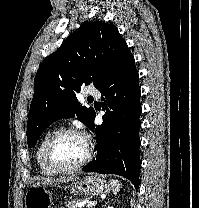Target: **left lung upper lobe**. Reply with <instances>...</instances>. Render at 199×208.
<instances>
[{
  "label": "left lung upper lobe",
  "mask_w": 199,
  "mask_h": 208,
  "mask_svg": "<svg viewBox=\"0 0 199 208\" xmlns=\"http://www.w3.org/2000/svg\"><path fill=\"white\" fill-rule=\"evenodd\" d=\"M130 56L113 24L90 21L74 31L36 73L28 115V147H33L43 131L60 118L76 115L90 127L95 111L81 106L76 93L84 84L93 83L98 89Z\"/></svg>",
  "instance_id": "1"
}]
</instances>
